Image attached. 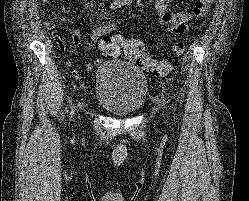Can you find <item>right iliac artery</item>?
Listing matches in <instances>:
<instances>
[{
	"label": "right iliac artery",
	"mask_w": 249,
	"mask_h": 201,
	"mask_svg": "<svg viewBox=\"0 0 249 201\" xmlns=\"http://www.w3.org/2000/svg\"><path fill=\"white\" fill-rule=\"evenodd\" d=\"M126 2H127V0H115V1L111 4L110 8H111V9L120 8L121 6L125 5ZM71 113L73 114V113H74V110H72Z\"/></svg>",
	"instance_id": "82829eb1"
}]
</instances>
